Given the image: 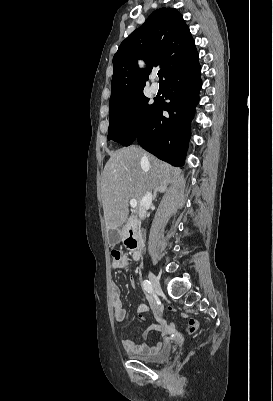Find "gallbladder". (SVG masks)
Returning a JSON list of instances; mask_svg holds the SVG:
<instances>
[{
    "label": "gallbladder",
    "mask_w": 273,
    "mask_h": 401,
    "mask_svg": "<svg viewBox=\"0 0 273 401\" xmlns=\"http://www.w3.org/2000/svg\"><path fill=\"white\" fill-rule=\"evenodd\" d=\"M109 244L120 243V233L118 227H108L107 228Z\"/></svg>",
    "instance_id": "bac80fb5"
}]
</instances>
